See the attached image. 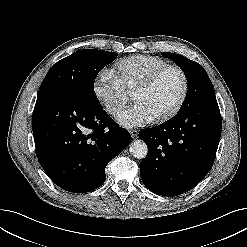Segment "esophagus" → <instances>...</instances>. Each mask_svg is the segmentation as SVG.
<instances>
[{"label": "esophagus", "mask_w": 247, "mask_h": 247, "mask_svg": "<svg viewBox=\"0 0 247 247\" xmlns=\"http://www.w3.org/2000/svg\"><path fill=\"white\" fill-rule=\"evenodd\" d=\"M130 134H131L132 138H136L137 135H138V130H136V129H131V130H130Z\"/></svg>", "instance_id": "obj_1"}]
</instances>
